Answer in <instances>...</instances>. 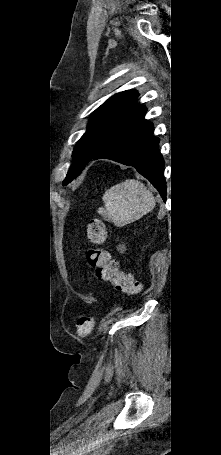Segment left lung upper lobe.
Instances as JSON below:
<instances>
[{"instance_id":"5c2ea615","label":"left lung upper lobe","mask_w":221,"mask_h":455,"mask_svg":"<svg viewBox=\"0 0 221 455\" xmlns=\"http://www.w3.org/2000/svg\"><path fill=\"white\" fill-rule=\"evenodd\" d=\"M138 96L135 90L117 93L91 114L87 131L74 147L73 165L63 185L76 178L107 143L145 116L147 109L136 103Z\"/></svg>"}]
</instances>
